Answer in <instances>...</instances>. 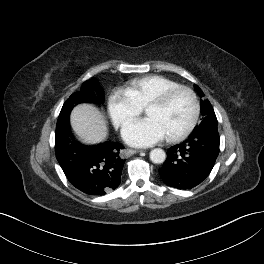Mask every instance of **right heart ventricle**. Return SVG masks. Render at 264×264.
Segmentation results:
<instances>
[{"label": "right heart ventricle", "mask_w": 264, "mask_h": 264, "mask_svg": "<svg viewBox=\"0 0 264 264\" xmlns=\"http://www.w3.org/2000/svg\"><path fill=\"white\" fill-rule=\"evenodd\" d=\"M179 85L178 82L162 75H147L132 80L126 92L140 108H144L165 91Z\"/></svg>", "instance_id": "right-heart-ventricle-1"}]
</instances>
